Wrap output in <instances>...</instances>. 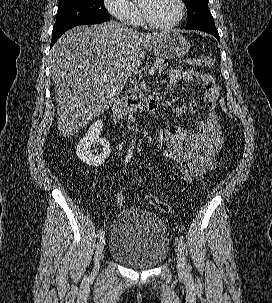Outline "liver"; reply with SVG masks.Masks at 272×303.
I'll list each match as a JSON object with an SVG mask.
<instances>
[{
  "label": "liver",
  "instance_id": "liver-1",
  "mask_svg": "<svg viewBox=\"0 0 272 303\" xmlns=\"http://www.w3.org/2000/svg\"><path fill=\"white\" fill-rule=\"evenodd\" d=\"M166 34L142 33L115 21L65 32L51 50L60 134L69 137L102 114L141 65L146 50Z\"/></svg>",
  "mask_w": 272,
  "mask_h": 303
}]
</instances>
